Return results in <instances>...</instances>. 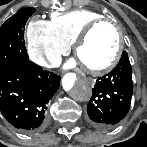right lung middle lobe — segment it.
<instances>
[{
  "instance_id": "obj_1",
  "label": "right lung middle lobe",
  "mask_w": 147,
  "mask_h": 147,
  "mask_svg": "<svg viewBox=\"0 0 147 147\" xmlns=\"http://www.w3.org/2000/svg\"><path fill=\"white\" fill-rule=\"evenodd\" d=\"M34 12L33 8H23L0 27V73L19 62L29 60L23 28Z\"/></svg>"
}]
</instances>
